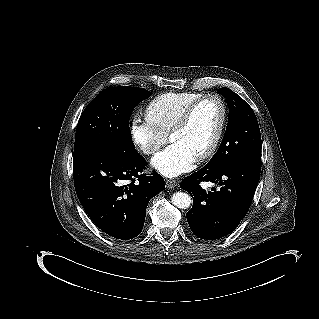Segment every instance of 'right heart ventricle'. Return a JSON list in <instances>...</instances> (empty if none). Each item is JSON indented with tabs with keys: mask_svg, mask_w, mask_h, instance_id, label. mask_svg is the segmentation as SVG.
<instances>
[{
	"mask_svg": "<svg viewBox=\"0 0 319 319\" xmlns=\"http://www.w3.org/2000/svg\"><path fill=\"white\" fill-rule=\"evenodd\" d=\"M199 94L165 95L156 100L146 115L147 124L158 126H172L177 123L183 113L200 99Z\"/></svg>",
	"mask_w": 319,
	"mask_h": 319,
	"instance_id": "1",
	"label": "right heart ventricle"
}]
</instances>
